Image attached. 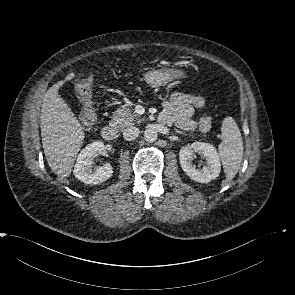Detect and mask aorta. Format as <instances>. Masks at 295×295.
Returning <instances> with one entry per match:
<instances>
[{"instance_id": "1", "label": "aorta", "mask_w": 295, "mask_h": 295, "mask_svg": "<svg viewBox=\"0 0 295 295\" xmlns=\"http://www.w3.org/2000/svg\"><path fill=\"white\" fill-rule=\"evenodd\" d=\"M144 138L149 143L155 142L158 138V133L155 129L148 128L144 132Z\"/></svg>"}]
</instances>
